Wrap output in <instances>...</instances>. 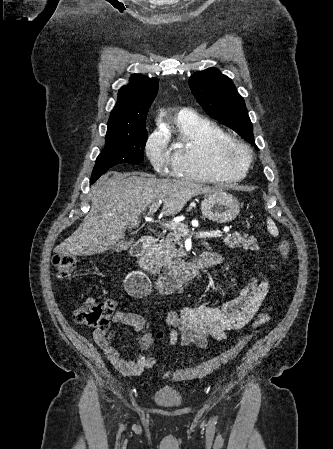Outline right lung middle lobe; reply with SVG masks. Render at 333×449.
Masks as SVG:
<instances>
[{"mask_svg": "<svg viewBox=\"0 0 333 449\" xmlns=\"http://www.w3.org/2000/svg\"><path fill=\"white\" fill-rule=\"evenodd\" d=\"M147 130L144 126L138 135L109 136L105 138V148L97 157L91 179H98L109 168L121 164H140L144 158Z\"/></svg>", "mask_w": 333, "mask_h": 449, "instance_id": "1", "label": "right lung middle lobe"}]
</instances>
